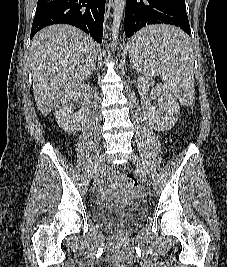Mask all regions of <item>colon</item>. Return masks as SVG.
<instances>
[{
    "label": "colon",
    "instance_id": "obj_1",
    "mask_svg": "<svg viewBox=\"0 0 227 267\" xmlns=\"http://www.w3.org/2000/svg\"><path fill=\"white\" fill-rule=\"evenodd\" d=\"M106 177L107 179H115V173L110 170L107 172L106 174ZM119 182L126 188L134 191V190H137L138 188V181L137 179L135 178L134 175L130 174V173H127L125 174L122 178L119 179Z\"/></svg>",
    "mask_w": 227,
    "mask_h": 267
}]
</instances>
